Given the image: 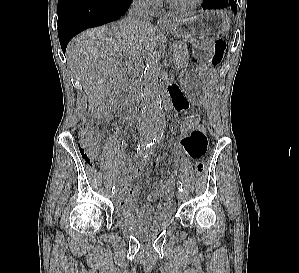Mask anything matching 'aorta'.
Instances as JSON below:
<instances>
[{"instance_id":"obj_1","label":"aorta","mask_w":299,"mask_h":273,"mask_svg":"<svg viewBox=\"0 0 299 273\" xmlns=\"http://www.w3.org/2000/svg\"><path fill=\"white\" fill-rule=\"evenodd\" d=\"M161 65L157 53L147 60L140 82L142 87L143 111L140 118V132L143 141L152 142L163 135L165 117L161 107L159 79Z\"/></svg>"}]
</instances>
